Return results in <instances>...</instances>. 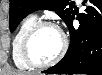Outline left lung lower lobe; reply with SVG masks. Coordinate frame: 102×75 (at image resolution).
Masks as SVG:
<instances>
[{
    "label": "left lung lower lobe",
    "mask_w": 102,
    "mask_h": 75,
    "mask_svg": "<svg viewBox=\"0 0 102 75\" xmlns=\"http://www.w3.org/2000/svg\"><path fill=\"white\" fill-rule=\"evenodd\" d=\"M90 2L92 6L87 7V14L78 18L81 24L79 29H74L72 25L75 12L66 22L70 32L67 53L44 73L102 75V1Z\"/></svg>",
    "instance_id": "left-lung-lower-lobe-1"
}]
</instances>
